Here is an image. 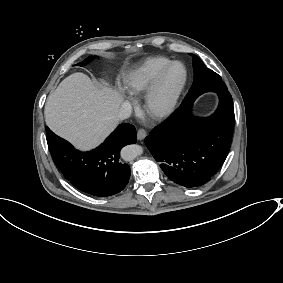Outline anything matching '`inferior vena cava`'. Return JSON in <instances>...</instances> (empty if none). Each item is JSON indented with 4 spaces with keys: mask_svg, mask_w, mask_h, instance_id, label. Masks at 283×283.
Here are the masks:
<instances>
[{
    "mask_svg": "<svg viewBox=\"0 0 283 283\" xmlns=\"http://www.w3.org/2000/svg\"><path fill=\"white\" fill-rule=\"evenodd\" d=\"M132 113V107L128 102H124L121 105L120 111L118 113L119 120H124L130 117Z\"/></svg>",
    "mask_w": 283,
    "mask_h": 283,
    "instance_id": "inferior-vena-cava-1",
    "label": "inferior vena cava"
}]
</instances>
